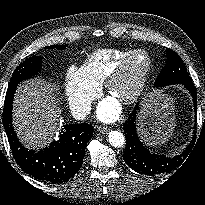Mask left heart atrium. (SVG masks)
I'll list each match as a JSON object with an SVG mask.
<instances>
[{"mask_svg":"<svg viewBox=\"0 0 205 205\" xmlns=\"http://www.w3.org/2000/svg\"><path fill=\"white\" fill-rule=\"evenodd\" d=\"M120 108L116 100L109 98L103 100L98 107V117L104 122H111L118 118Z\"/></svg>","mask_w":205,"mask_h":205,"instance_id":"obj_1","label":"left heart atrium"}]
</instances>
